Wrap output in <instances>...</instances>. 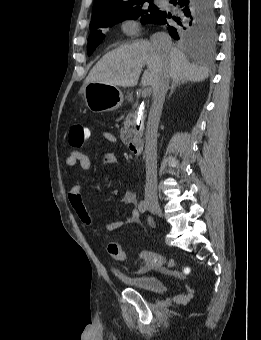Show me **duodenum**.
I'll list each match as a JSON object with an SVG mask.
<instances>
[{"instance_id":"410a0bca","label":"duodenum","mask_w":261,"mask_h":340,"mask_svg":"<svg viewBox=\"0 0 261 340\" xmlns=\"http://www.w3.org/2000/svg\"><path fill=\"white\" fill-rule=\"evenodd\" d=\"M128 149L133 155H140L143 150V139L140 136L132 137L128 142Z\"/></svg>"}]
</instances>
